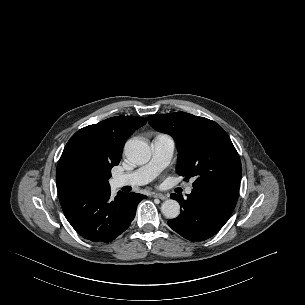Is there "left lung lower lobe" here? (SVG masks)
Returning a JSON list of instances; mask_svg holds the SVG:
<instances>
[{
  "label": "left lung lower lobe",
  "instance_id": "1",
  "mask_svg": "<svg viewBox=\"0 0 305 305\" xmlns=\"http://www.w3.org/2000/svg\"><path fill=\"white\" fill-rule=\"evenodd\" d=\"M238 192L239 182H220L193 188L186 199L171 194L182 210L177 218L168 221V225L188 240H206L228 221L236 206Z\"/></svg>",
  "mask_w": 305,
  "mask_h": 305
}]
</instances>
